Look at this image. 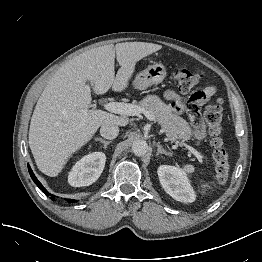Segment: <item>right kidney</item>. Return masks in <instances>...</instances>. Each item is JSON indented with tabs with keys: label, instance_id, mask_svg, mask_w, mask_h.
<instances>
[{
	"label": "right kidney",
	"instance_id": "right-kidney-1",
	"mask_svg": "<svg viewBox=\"0 0 262 262\" xmlns=\"http://www.w3.org/2000/svg\"><path fill=\"white\" fill-rule=\"evenodd\" d=\"M106 162L102 152H93L80 159L68 175V182L73 187L89 186L101 175Z\"/></svg>",
	"mask_w": 262,
	"mask_h": 262
}]
</instances>
